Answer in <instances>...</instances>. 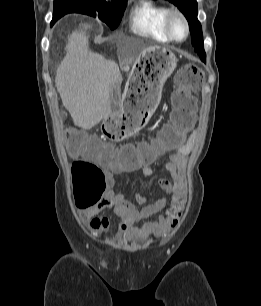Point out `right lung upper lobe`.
<instances>
[{"label": "right lung upper lobe", "mask_w": 261, "mask_h": 306, "mask_svg": "<svg viewBox=\"0 0 261 306\" xmlns=\"http://www.w3.org/2000/svg\"><path fill=\"white\" fill-rule=\"evenodd\" d=\"M74 0H54V3H60V2H70ZM118 1H124V0H118Z\"/></svg>", "instance_id": "1"}]
</instances>
